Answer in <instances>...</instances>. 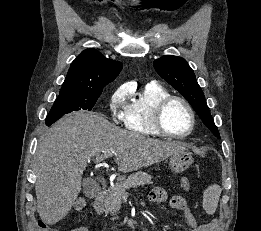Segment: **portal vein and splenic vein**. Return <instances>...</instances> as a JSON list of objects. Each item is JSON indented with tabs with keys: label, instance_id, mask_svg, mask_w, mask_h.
I'll use <instances>...</instances> for the list:
<instances>
[{
	"label": "portal vein and splenic vein",
	"instance_id": "obj_1",
	"mask_svg": "<svg viewBox=\"0 0 261 231\" xmlns=\"http://www.w3.org/2000/svg\"><path fill=\"white\" fill-rule=\"evenodd\" d=\"M115 154V151H104L103 154L96 156V163L102 161L105 158L111 157Z\"/></svg>",
	"mask_w": 261,
	"mask_h": 231
}]
</instances>
